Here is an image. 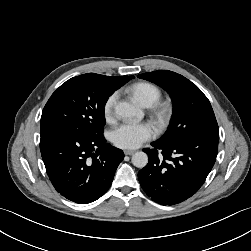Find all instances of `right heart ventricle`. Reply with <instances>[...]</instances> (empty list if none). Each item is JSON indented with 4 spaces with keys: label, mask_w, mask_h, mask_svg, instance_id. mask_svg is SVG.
<instances>
[{
    "label": "right heart ventricle",
    "mask_w": 251,
    "mask_h": 251,
    "mask_svg": "<svg viewBox=\"0 0 251 251\" xmlns=\"http://www.w3.org/2000/svg\"><path fill=\"white\" fill-rule=\"evenodd\" d=\"M129 91L133 97L143 106L155 105L161 98L160 89L149 82H139L132 85Z\"/></svg>",
    "instance_id": "e07e8e85"
}]
</instances>
